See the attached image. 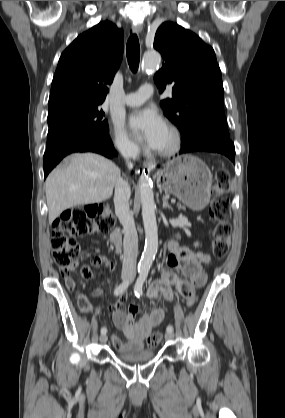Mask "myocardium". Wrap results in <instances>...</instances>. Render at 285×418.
I'll return each instance as SVG.
<instances>
[{"label":"myocardium","instance_id":"obj_1","mask_svg":"<svg viewBox=\"0 0 285 418\" xmlns=\"http://www.w3.org/2000/svg\"><path fill=\"white\" fill-rule=\"evenodd\" d=\"M167 131L170 136L168 144L156 148L157 153L161 156L174 155L179 151L182 143L181 132L176 126L169 125Z\"/></svg>","mask_w":285,"mask_h":418}]
</instances>
